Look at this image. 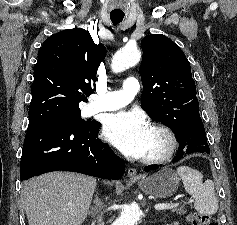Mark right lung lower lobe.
<instances>
[{
    "instance_id": "1",
    "label": "right lung lower lobe",
    "mask_w": 237,
    "mask_h": 225,
    "mask_svg": "<svg viewBox=\"0 0 237 225\" xmlns=\"http://www.w3.org/2000/svg\"><path fill=\"white\" fill-rule=\"evenodd\" d=\"M100 123L77 129L52 122H29L21 157V181L51 171H74L120 179L125 163L98 139Z\"/></svg>"
}]
</instances>
